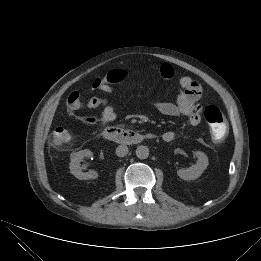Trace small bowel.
<instances>
[{"label": "small bowel", "instance_id": "1", "mask_svg": "<svg viewBox=\"0 0 261 261\" xmlns=\"http://www.w3.org/2000/svg\"><path fill=\"white\" fill-rule=\"evenodd\" d=\"M162 78L169 80L174 76V69L170 64L164 63L153 67ZM180 92L175 102H157L156 109L163 115L170 117L187 116L189 122L193 126H197L201 122V108L199 100L202 94L201 86L198 82L189 76H183L179 80ZM98 91L107 95L113 93V88L109 83H102ZM67 108L72 111L90 110L102 107L103 110L99 116H81L79 120L86 125L108 124L117 118V110L114 104L100 97H92L87 101H82L80 93L73 91L67 98ZM176 138L174 131H166L162 134V139L171 142Z\"/></svg>", "mask_w": 261, "mask_h": 261}]
</instances>
